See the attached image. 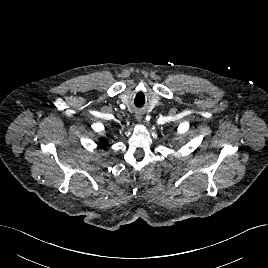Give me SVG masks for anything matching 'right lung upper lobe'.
<instances>
[{
    "label": "right lung upper lobe",
    "mask_w": 268,
    "mask_h": 268,
    "mask_svg": "<svg viewBox=\"0 0 268 268\" xmlns=\"http://www.w3.org/2000/svg\"><path fill=\"white\" fill-rule=\"evenodd\" d=\"M101 141H102L103 144H107V141H106L105 138H102Z\"/></svg>",
    "instance_id": "cb5924a9"
}]
</instances>
